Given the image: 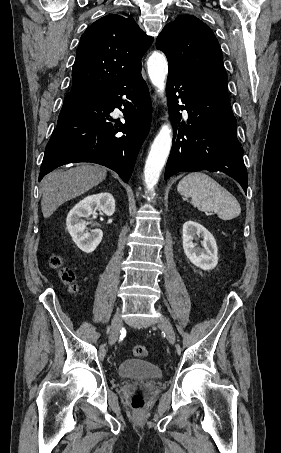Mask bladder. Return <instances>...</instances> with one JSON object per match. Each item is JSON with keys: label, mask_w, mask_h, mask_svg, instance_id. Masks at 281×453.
I'll return each mask as SVG.
<instances>
[{"label": "bladder", "mask_w": 281, "mask_h": 453, "mask_svg": "<svg viewBox=\"0 0 281 453\" xmlns=\"http://www.w3.org/2000/svg\"><path fill=\"white\" fill-rule=\"evenodd\" d=\"M118 374L123 378H139L156 380L162 377L161 370L143 361L128 360L122 362L118 367Z\"/></svg>", "instance_id": "1"}]
</instances>
